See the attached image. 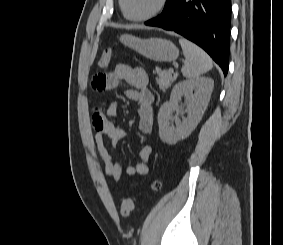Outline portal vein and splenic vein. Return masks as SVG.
Returning a JSON list of instances; mask_svg holds the SVG:
<instances>
[{
	"mask_svg": "<svg viewBox=\"0 0 283 245\" xmlns=\"http://www.w3.org/2000/svg\"><path fill=\"white\" fill-rule=\"evenodd\" d=\"M170 73H173L174 72V69L173 68H169L168 70Z\"/></svg>",
	"mask_w": 283,
	"mask_h": 245,
	"instance_id": "portal-vein-and-splenic-vein-1",
	"label": "portal vein and splenic vein"
}]
</instances>
